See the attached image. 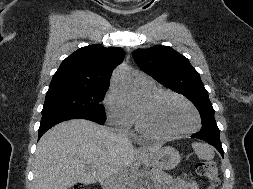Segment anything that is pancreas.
I'll use <instances>...</instances> for the list:
<instances>
[{"label": "pancreas", "instance_id": "cf45deb5", "mask_svg": "<svg viewBox=\"0 0 253 189\" xmlns=\"http://www.w3.org/2000/svg\"><path fill=\"white\" fill-rule=\"evenodd\" d=\"M152 178L156 186H164L169 184L171 181V176L160 169L152 170Z\"/></svg>", "mask_w": 253, "mask_h": 189}]
</instances>
